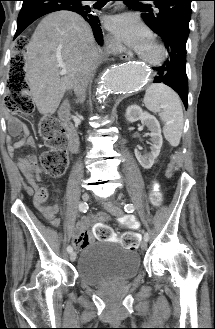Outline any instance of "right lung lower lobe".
<instances>
[{"label": "right lung lower lobe", "mask_w": 215, "mask_h": 329, "mask_svg": "<svg viewBox=\"0 0 215 329\" xmlns=\"http://www.w3.org/2000/svg\"><path fill=\"white\" fill-rule=\"evenodd\" d=\"M23 5L20 10L17 30L14 38H16L26 27H28L36 19L48 13L68 10L81 15L91 26L94 37L98 44L102 45L103 36L102 30L99 25V19L97 16L92 14V9L84 5L82 1L84 0H22ZM14 70H20L22 64L17 61H12Z\"/></svg>", "instance_id": "right-lung-lower-lobe-1"}]
</instances>
